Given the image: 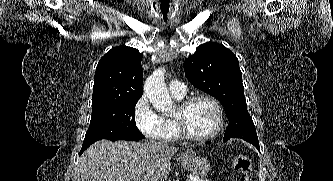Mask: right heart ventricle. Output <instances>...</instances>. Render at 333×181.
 <instances>
[{
    "mask_svg": "<svg viewBox=\"0 0 333 181\" xmlns=\"http://www.w3.org/2000/svg\"><path fill=\"white\" fill-rule=\"evenodd\" d=\"M175 98L178 100H181L183 97L182 98L175 97ZM173 123H174V131H173L172 135L170 136V138H177L179 136V130H178L176 123L175 122H173Z\"/></svg>",
    "mask_w": 333,
    "mask_h": 181,
    "instance_id": "1",
    "label": "right heart ventricle"
}]
</instances>
